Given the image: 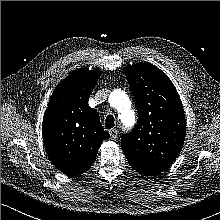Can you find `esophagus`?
<instances>
[{"instance_id": "obj_1", "label": "esophagus", "mask_w": 220, "mask_h": 220, "mask_svg": "<svg viewBox=\"0 0 220 220\" xmlns=\"http://www.w3.org/2000/svg\"><path fill=\"white\" fill-rule=\"evenodd\" d=\"M110 137L112 140H115L118 136V130L117 129H111L109 131Z\"/></svg>"}]
</instances>
